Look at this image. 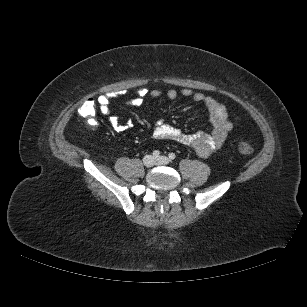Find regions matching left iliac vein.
<instances>
[{"label": "left iliac vein", "instance_id": "obj_1", "mask_svg": "<svg viewBox=\"0 0 307 307\" xmlns=\"http://www.w3.org/2000/svg\"><path fill=\"white\" fill-rule=\"evenodd\" d=\"M170 160L166 156H160L156 159V164L157 165H167L169 164Z\"/></svg>", "mask_w": 307, "mask_h": 307}]
</instances>
